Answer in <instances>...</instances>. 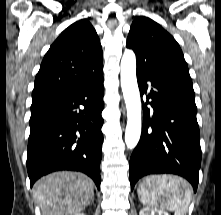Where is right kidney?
Wrapping results in <instances>:
<instances>
[{"label": "right kidney", "instance_id": "ca27d5eb", "mask_svg": "<svg viewBox=\"0 0 221 215\" xmlns=\"http://www.w3.org/2000/svg\"><path fill=\"white\" fill-rule=\"evenodd\" d=\"M76 215H85L84 213H77Z\"/></svg>", "mask_w": 221, "mask_h": 215}]
</instances>
